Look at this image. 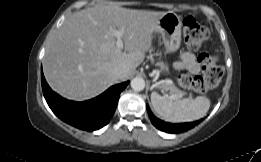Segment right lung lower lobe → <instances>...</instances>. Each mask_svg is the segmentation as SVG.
<instances>
[{
	"label": "right lung lower lobe",
	"mask_w": 261,
	"mask_h": 162,
	"mask_svg": "<svg viewBox=\"0 0 261 162\" xmlns=\"http://www.w3.org/2000/svg\"><path fill=\"white\" fill-rule=\"evenodd\" d=\"M128 81L114 85L96 98L74 102L52 91L41 71V84L47 104L62 121L82 130L94 131L105 126L112 118L120 93Z\"/></svg>",
	"instance_id": "right-lung-lower-lobe-1"
}]
</instances>
